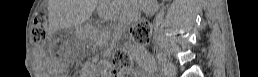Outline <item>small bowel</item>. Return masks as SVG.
Instances as JSON below:
<instances>
[{"mask_svg": "<svg viewBox=\"0 0 258 77\" xmlns=\"http://www.w3.org/2000/svg\"><path fill=\"white\" fill-rule=\"evenodd\" d=\"M138 59L141 63L140 69L146 70V69L149 68L150 60L146 55H144L143 53H139L138 54Z\"/></svg>", "mask_w": 258, "mask_h": 77, "instance_id": "small-bowel-1", "label": "small bowel"}]
</instances>
